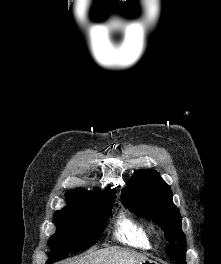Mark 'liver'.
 Segmentation results:
<instances>
[{
    "instance_id": "6515ba94",
    "label": "liver",
    "mask_w": 221,
    "mask_h": 264,
    "mask_svg": "<svg viewBox=\"0 0 221 264\" xmlns=\"http://www.w3.org/2000/svg\"><path fill=\"white\" fill-rule=\"evenodd\" d=\"M145 259L148 258L135 251L108 247L61 264H138Z\"/></svg>"
}]
</instances>
